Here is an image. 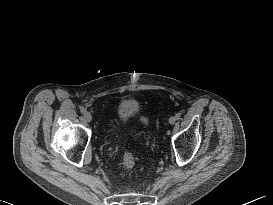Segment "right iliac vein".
<instances>
[{"label": "right iliac vein", "instance_id": "1", "mask_svg": "<svg viewBox=\"0 0 273 205\" xmlns=\"http://www.w3.org/2000/svg\"><path fill=\"white\" fill-rule=\"evenodd\" d=\"M84 119L87 121V122H91L92 121V115L90 112L86 111L84 113Z\"/></svg>", "mask_w": 273, "mask_h": 205}]
</instances>
